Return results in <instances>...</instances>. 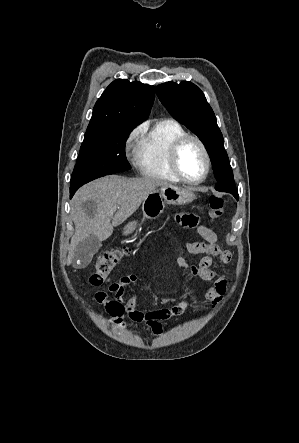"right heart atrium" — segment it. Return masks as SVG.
Here are the masks:
<instances>
[{
	"instance_id": "obj_1",
	"label": "right heart atrium",
	"mask_w": 299,
	"mask_h": 443,
	"mask_svg": "<svg viewBox=\"0 0 299 443\" xmlns=\"http://www.w3.org/2000/svg\"><path fill=\"white\" fill-rule=\"evenodd\" d=\"M145 130V127L143 125H139L135 128H133L130 133L128 134L125 143H124V149L127 153L130 160L134 163H137L138 160V150H139V144H140V138Z\"/></svg>"
}]
</instances>
